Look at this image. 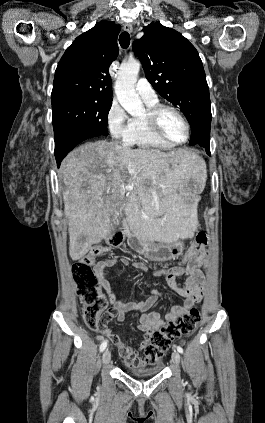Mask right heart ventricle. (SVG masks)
Returning <instances> with one entry per match:
<instances>
[{
	"instance_id": "e07e8e85",
	"label": "right heart ventricle",
	"mask_w": 265,
	"mask_h": 423,
	"mask_svg": "<svg viewBox=\"0 0 265 423\" xmlns=\"http://www.w3.org/2000/svg\"><path fill=\"white\" fill-rule=\"evenodd\" d=\"M145 103L148 108L157 105V101ZM124 142L128 145L150 150H169L173 147L161 141L152 133L144 117H133L130 119Z\"/></svg>"
}]
</instances>
